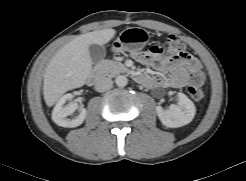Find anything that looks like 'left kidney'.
<instances>
[{
	"instance_id": "obj_1",
	"label": "left kidney",
	"mask_w": 246,
	"mask_h": 181,
	"mask_svg": "<svg viewBox=\"0 0 246 181\" xmlns=\"http://www.w3.org/2000/svg\"><path fill=\"white\" fill-rule=\"evenodd\" d=\"M177 96V105L171 104L167 109L161 106L156 107V113L166 127L178 128L187 125L196 114L194 103L184 93L179 92Z\"/></svg>"
}]
</instances>
